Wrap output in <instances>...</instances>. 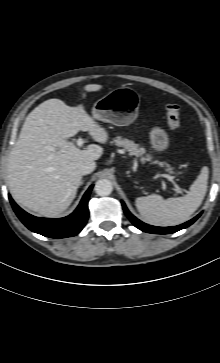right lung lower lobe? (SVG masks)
I'll use <instances>...</instances> for the list:
<instances>
[{"label":"right lung lower lobe","instance_id":"1","mask_svg":"<svg viewBox=\"0 0 220 363\" xmlns=\"http://www.w3.org/2000/svg\"><path fill=\"white\" fill-rule=\"evenodd\" d=\"M93 185L84 194L77 209L69 216L60 219H47L32 216L22 210L9 195L11 205L22 221L31 231L50 238H65L78 234L87 222L88 199Z\"/></svg>","mask_w":220,"mask_h":363}]
</instances>
